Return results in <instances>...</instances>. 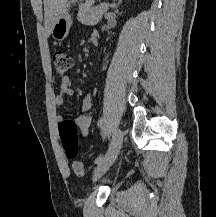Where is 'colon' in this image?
I'll return each instance as SVG.
<instances>
[{
    "label": "colon",
    "mask_w": 216,
    "mask_h": 217,
    "mask_svg": "<svg viewBox=\"0 0 216 217\" xmlns=\"http://www.w3.org/2000/svg\"><path fill=\"white\" fill-rule=\"evenodd\" d=\"M54 69L57 74L65 75L72 66L71 57L63 51H55L52 56ZM60 138L65 155L73 159L78 154L77 126L72 120H64L60 126ZM76 176L82 177L86 174V167L82 162H74L72 165Z\"/></svg>",
    "instance_id": "obj_1"
}]
</instances>
